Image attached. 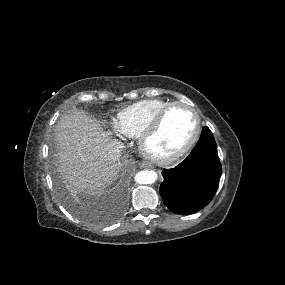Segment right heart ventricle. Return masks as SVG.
I'll return each mask as SVG.
<instances>
[{"label":"right heart ventricle","instance_id":"e07e8e85","mask_svg":"<svg viewBox=\"0 0 285 285\" xmlns=\"http://www.w3.org/2000/svg\"><path fill=\"white\" fill-rule=\"evenodd\" d=\"M171 103L164 99L142 100L119 111L115 121L123 133L138 138L151 121Z\"/></svg>","mask_w":285,"mask_h":285}]
</instances>
